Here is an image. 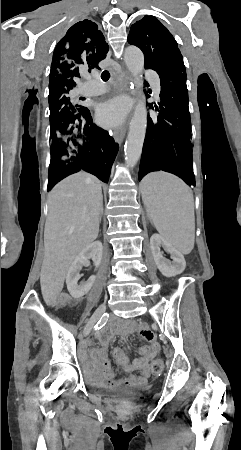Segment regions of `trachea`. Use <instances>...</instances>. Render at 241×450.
Segmentation results:
<instances>
[{
  "mask_svg": "<svg viewBox=\"0 0 241 450\" xmlns=\"http://www.w3.org/2000/svg\"><path fill=\"white\" fill-rule=\"evenodd\" d=\"M110 78V73L107 70H104V72L101 73V79L103 81H107Z\"/></svg>",
  "mask_w": 241,
  "mask_h": 450,
  "instance_id": "obj_1",
  "label": "trachea"
}]
</instances>
